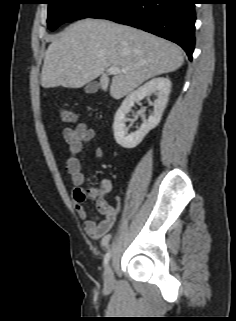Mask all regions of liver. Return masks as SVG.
<instances>
[{
    "label": "liver",
    "instance_id": "1",
    "mask_svg": "<svg viewBox=\"0 0 236 321\" xmlns=\"http://www.w3.org/2000/svg\"><path fill=\"white\" fill-rule=\"evenodd\" d=\"M182 50L151 33L103 19H83L69 25L48 46L41 72L43 88H81L100 76L107 91L109 67H118L110 95L120 99L151 77L179 69Z\"/></svg>",
    "mask_w": 236,
    "mask_h": 321
}]
</instances>
